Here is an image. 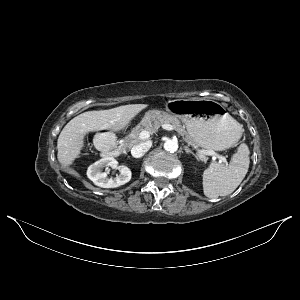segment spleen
Returning <instances> with one entry per match:
<instances>
[{"label":"spleen","instance_id":"3e777b00","mask_svg":"<svg viewBox=\"0 0 300 300\" xmlns=\"http://www.w3.org/2000/svg\"><path fill=\"white\" fill-rule=\"evenodd\" d=\"M238 125L242 132L241 125L239 123ZM249 153L248 146L242 143L232 156L229 165L211 163L203 173V191L205 196L213 199L234 192L248 172Z\"/></svg>","mask_w":300,"mask_h":300}]
</instances>
